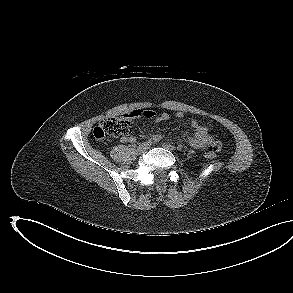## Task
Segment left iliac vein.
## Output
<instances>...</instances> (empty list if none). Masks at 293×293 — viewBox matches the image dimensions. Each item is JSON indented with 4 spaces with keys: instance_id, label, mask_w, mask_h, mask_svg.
Wrapping results in <instances>:
<instances>
[{
    "instance_id": "1",
    "label": "left iliac vein",
    "mask_w": 293,
    "mask_h": 293,
    "mask_svg": "<svg viewBox=\"0 0 293 293\" xmlns=\"http://www.w3.org/2000/svg\"><path fill=\"white\" fill-rule=\"evenodd\" d=\"M162 146L170 151H174L175 150V146L168 144V143H163Z\"/></svg>"
}]
</instances>
